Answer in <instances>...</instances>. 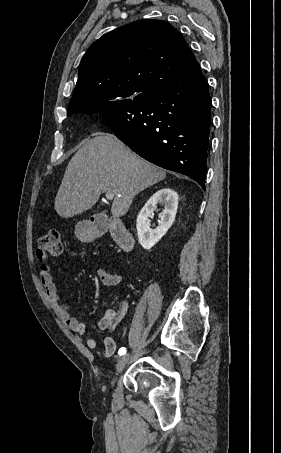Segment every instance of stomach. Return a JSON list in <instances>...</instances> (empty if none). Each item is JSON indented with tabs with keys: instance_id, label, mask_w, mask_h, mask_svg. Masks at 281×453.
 <instances>
[{
	"instance_id": "1",
	"label": "stomach",
	"mask_w": 281,
	"mask_h": 453,
	"mask_svg": "<svg viewBox=\"0 0 281 453\" xmlns=\"http://www.w3.org/2000/svg\"><path fill=\"white\" fill-rule=\"evenodd\" d=\"M75 235L77 239H80V241H82L84 237H89V239H93L94 237L92 229H89V227L88 229L87 227H83V224H77V227L75 229Z\"/></svg>"
}]
</instances>
